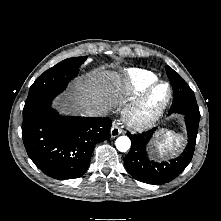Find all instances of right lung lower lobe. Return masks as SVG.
Returning <instances> with one entry per match:
<instances>
[{
  "instance_id": "right-lung-lower-lobe-1",
  "label": "right lung lower lobe",
  "mask_w": 221,
  "mask_h": 221,
  "mask_svg": "<svg viewBox=\"0 0 221 221\" xmlns=\"http://www.w3.org/2000/svg\"><path fill=\"white\" fill-rule=\"evenodd\" d=\"M110 118L62 116L51 103L23 119L22 138L30 159L55 179L81 177L94 146L110 139Z\"/></svg>"
}]
</instances>
